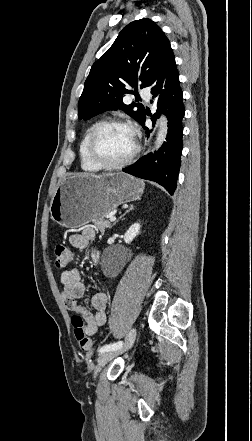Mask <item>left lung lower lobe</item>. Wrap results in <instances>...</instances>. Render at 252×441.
Masks as SVG:
<instances>
[{"instance_id":"0a47b994","label":"left lung lower lobe","mask_w":252,"mask_h":441,"mask_svg":"<svg viewBox=\"0 0 252 441\" xmlns=\"http://www.w3.org/2000/svg\"><path fill=\"white\" fill-rule=\"evenodd\" d=\"M153 98H157V111L153 123L164 113L168 118L166 142L154 154L150 153L135 164L123 169L131 175L152 180L162 185L170 194L176 189L182 153V119L184 117L183 94L179 85V73L170 43H166L157 60V67L150 81ZM146 115L140 124L143 126ZM147 134L149 130L146 128Z\"/></svg>"}]
</instances>
